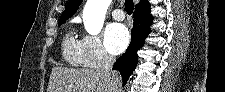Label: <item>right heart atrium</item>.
<instances>
[{
    "label": "right heart atrium",
    "mask_w": 225,
    "mask_h": 92,
    "mask_svg": "<svg viewBox=\"0 0 225 92\" xmlns=\"http://www.w3.org/2000/svg\"><path fill=\"white\" fill-rule=\"evenodd\" d=\"M80 63L84 67H99L110 59L101 40L97 36L84 35L79 40Z\"/></svg>",
    "instance_id": "d8ad5b80"
}]
</instances>
